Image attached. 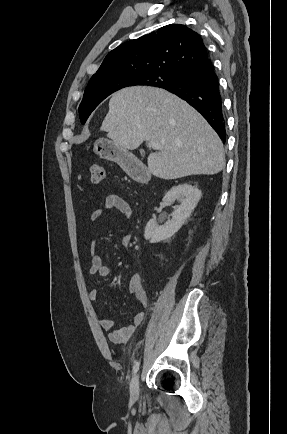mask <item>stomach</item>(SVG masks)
<instances>
[{
    "label": "stomach",
    "instance_id": "0dacf381",
    "mask_svg": "<svg viewBox=\"0 0 287 434\" xmlns=\"http://www.w3.org/2000/svg\"><path fill=\"white\" fill-rule=\"evenodd\" d=\"M94 152L101 158L117 163L126 168L133 155L126 149L107 139H98L94 144Z\"/></svg>",
    "mask_w": 287,
    "mask_h": 434
}]
</instances>
